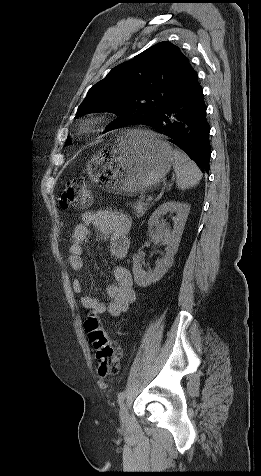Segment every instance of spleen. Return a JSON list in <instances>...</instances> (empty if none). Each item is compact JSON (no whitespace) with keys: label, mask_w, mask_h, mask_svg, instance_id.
<instances>
[{"label":"spleen","mask_w":261,"mask_h":476,"mask_svg":"<svg viewBox=\"0 0 261 476\" xmlns=\"http://www.w3.org/2000/svg\"><path fill=\"white\" fill-rule=\"evenodd\" d=\"M172 153L178 188L185 190L197 185L202 179L198 166L184 152L173 150Z\"/></svg>","instance_id":"3e777b00"}]
</instances>
